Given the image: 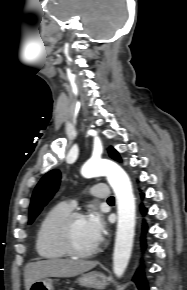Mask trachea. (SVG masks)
Wrapping results in <instances>:
<instances>
[{"label":"trachea","mask_w":187,"mask_h":290,"mask_svg":"<svg viewBox=\"0 0 187 290\" xmlns=\"http://www.w3.org/2000/svg\"><path fill=\"white\" fill-rule=\"evenodd\" d=\"M108 201H114V197L111 196Z\"/></svg>","instance_id":"3493384b"}]
</instances>
